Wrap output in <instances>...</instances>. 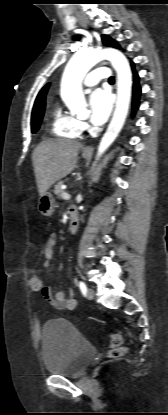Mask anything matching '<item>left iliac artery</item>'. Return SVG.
Instances as JSON below:
<instances>
[{
  "label": "left iliac artery",
  "instance_id": "44dca946",
  "mask_svg": "<svg viewBox=\"0 0 168 415\" xmlns=\"http://www.w3.org/2000/svg\"><path fill=\"white\" fill-rule=\"evenodd\" d=\"M79 288H80V291L82 292V294L85 295L87 293V287H86L84 282H82V281L79 282Z\"/></svg>",
  "mask_w": 168,
  "mask_h": 415
}]
</instances>
